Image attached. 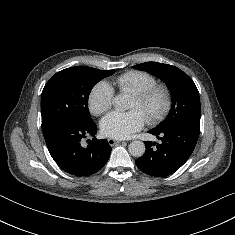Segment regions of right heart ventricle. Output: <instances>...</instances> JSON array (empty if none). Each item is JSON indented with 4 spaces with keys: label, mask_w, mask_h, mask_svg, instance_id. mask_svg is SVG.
I'll return each mask as SVG.
<instances>
[{
    "label": "right heart ventricle",
    "mask_w": 235,
    "mask_h": 235,
    "mask_svg": "<svg viewBox=\"0 0 235 235\" xmlns=\"http://www.w3.org/2000/svg\"><path fill=\"white\" fill-rule=\"evenodd\" d=\"M114 84L121 93H136L154 86L157 80L146 71L130 70L116 77Z\"/></svg>",
    "instance_id": "e07e8e85"
}]
</instances>
